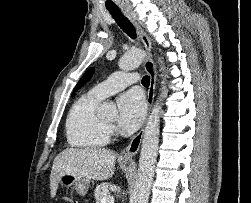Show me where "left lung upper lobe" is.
<instances>
[{"label": "left lung upper lobe", "mask_w": 251, "mask_h": 203, "mask_svg": "<svg viewBox=\"0 0 251 203\" xmlns=\"http://www.w3.org/2000/svg\"><path fill=\"white\" fill-rule=\"evenodd\" d=\"M94 72V68L89 69L83 76L82 78L79 80V82L77 83L74 91H77L80 87H82L92 76Z\"/></svg>", "instance_id": "5c2ea615"}]
</instances>
